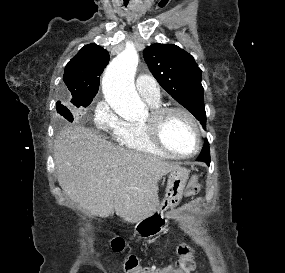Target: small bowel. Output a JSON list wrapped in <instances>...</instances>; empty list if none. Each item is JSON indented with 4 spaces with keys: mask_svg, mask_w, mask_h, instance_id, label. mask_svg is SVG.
I'll list each match as a JSON object with an SVG mask.
<instances>
[{
    "mask_svg": "<svg viewBox=\"0 0 285 273\" xmlns=\"http://www.w3.org/2000/svg\"><path fill=\"white\" fill-rule=\"evenodd\" d=\"M172 268V266H166V267H163V268H158V269H155V273H166L164 272L165 269H170Z\"/></svg>",
    "mask_w": 285,
    "mask_h": 273,
    "instance_id": "obj_1",
    "label": "small bowel"
}]
</instances>
